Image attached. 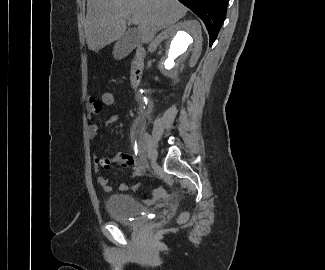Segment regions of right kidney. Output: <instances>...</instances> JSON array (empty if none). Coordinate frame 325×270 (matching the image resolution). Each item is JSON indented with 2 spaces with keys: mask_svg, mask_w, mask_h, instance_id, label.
<instances>
[{
  "mask_svg": "<svg viewBox=\"0 0 325 270\" xmlns=\"http://www.w3.org/2000/svg\"><path fill=\"white\" fill-rule=\"evenodd\" d=\"M158 44L164 42L159 61L153 66L158 81L175 85L187 70L197 63L202 50L201 26L196 20L177 23L161 32Z\"/></svg>",
  "mask_w": 325,
  "mask_h": 270,
  "instance_id": "1",
  "label": "right kidney"
}]
</instances>
